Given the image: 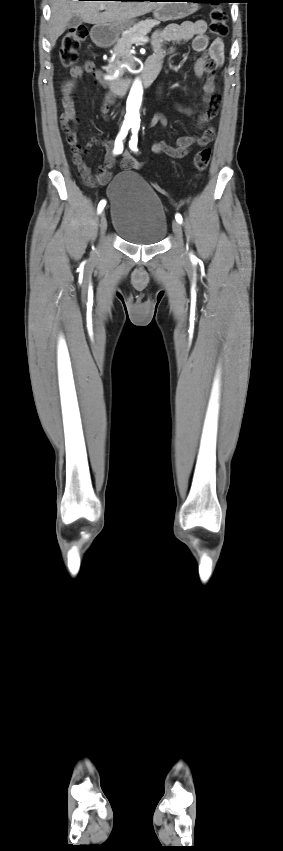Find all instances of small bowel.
Wrapping results in <instances>:
<instances>
[{
	"label": "small bowel",
	"instance_id": "small-bowel-1",
	"mask_svg": "<svg viewBox=\"0 0 283 851\" xmlns=\"http://www.w3.org/2000/svg\"><path fill=\"white\" fill-rule=\"evenodd\" d=\"M191 41L192 49L196 52H201V56L194 64L195 74L206 79L204 85L203 102L205 109L198 115L197 123L199 127H203L216 113L220 103V97L214 96L215 91V75L214 71L218 66H221L224 61V43L221 39H215L209 43V37L206 33V22L203 20L184 21L180 24H168L162 29L157 30L153 35L152 45L154 55L151 58H156L163 61L165 57V44L168 42L183 43ZM91 74L94 79L101 84L103 90H108L111 87V82L107 75L96 69L92 61H85L81 65L73 66L70 70V78L63 84L62 101L65 112L61 116V124L65 129L66 140L71 146L72 160L74 165L79 170L83 180L88 185H105L111 178L110 169L115 164V156L108 152L104 159V164L101 166L96 175L91 174L90 168L83 160L82 154L94 145H101L110 148L112 142L108 139L93 137L82 149L79 144L77 132L75 129L68 127V124L75 120L76 112L72 93L76 87L77 80L84 74ZM113 89L109 90L101 103V112L107 115L110 112L111 106L114 103ZM178 111L187 115L192 114L190 108H185L176 105ZM165 119L161 114H156L150 121V125L158 123L164 124ZM213 131L208 130L200 136H183L180 137L175 146L167 144L165 141L156 140L152 145V151L157 154H166L172 158H183L189 154L193 145H207L213 139ZM143 162L137 161L128 152H125L121 160L123 169L139 168L143 166Z\"/></svg>",
	"mask_w": 283,
	"mask_h": 851
}]
</instances>
